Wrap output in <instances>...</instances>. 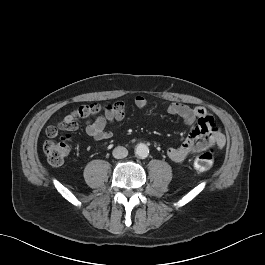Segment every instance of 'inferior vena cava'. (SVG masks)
<instances>
[{"label": "inferior vena cava", "instance_id": "obj_1", "mask_svg": "<svg viewBox=\"0 0 265 265\" xmlns=\"http://www.w3.org/2000/svg\"><path fill=\"white\" fill-rule=\"evenodd\" d=\"M114 158L122 159L128 155V150L123 146H117L112 152Z\"/></svg>", "mask_w": 265, "mask_h": 265}]
</instances>
